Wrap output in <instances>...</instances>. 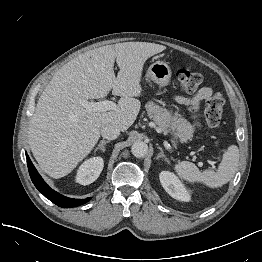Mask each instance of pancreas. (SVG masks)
<instances>
[{
  "label": "pancreas",
  "instance_id": "1",
  "mask_svg": "<svg viewBox=\"0 0 262 262\" xmlns=\"http://www.w3.org/2000/svg\"><path fill=\"white\" fill-rule=\"evenodd\" d=\"M146 110L148 113V116L152 118L155 123L163 130L164 132L167 131L168 127L176 126L179 128V130L187 131L191 130V125L184 119H178L175 120L171 117V114L159 107L158 105L154 104L153 102H148L146 105ZM188 134H182V139H187Z\"/></svg>",
  "mask_w": 262,
  "mask_h": 262
}]
</instances>
